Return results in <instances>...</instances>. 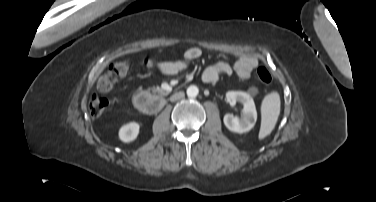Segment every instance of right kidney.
Segmentation results:
<instances>
[{
    "label": "right kidney",
    "instance_id": "right-kidney-1",
    "mask_svg": "<svg viewBox=\"0 0 376 202\" xmlns=\"http://www.w3.org/2000/svg\"><path fill=\"white\" fill-rule=\"evenodd\" d=\"M140 126L136 122L123 125L119 130V138L125 143L134 141L139 133Z\"/></svg>",
    "mask_w": 376,
    "mask_h": 202
}]
</instances>
